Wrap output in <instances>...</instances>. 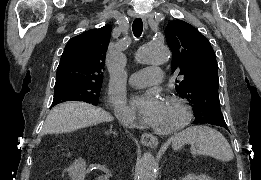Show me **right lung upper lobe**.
<instances>
[{"mask_svg":"<svg viewBox=\"0 0 261 180\" xmlns=\"http://www.w3.org/2000/svg\"><path fill=\"white\" fill-rule=\"evenodd\" d=\"M111 31L110 26H104L73 37L61 56L55 85L66 82L102 83Z\"/></svg>","mask_w":261,"mask_h":180,"instance_id":"cb5924a9","label":"right lung upper lobe"}]
</instances>
